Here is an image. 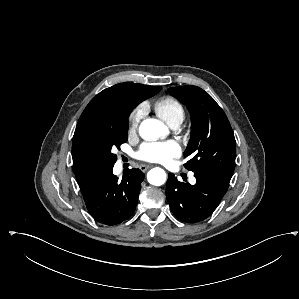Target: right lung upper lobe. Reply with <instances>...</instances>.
<instances>
[{
    "mask_svg": "<svg viewBox=\"0 0 299 299\" xmlns=\"http://www.w3.org/2000/svg\"><path fill=\"white\" fill-rule=\"evenodd\" d=\"M159 86H145L135 83H120L104 89L97 94L83 111L73 140L84 134L89 128L108 114L122 109H133L138 103L149 98L152 93H158Z\"/></svg>",
    "mask_w": 299,
    "mask_h": 299,
    "instance_id": "right-lung-upper-lobe-1",
    "label": "right lung upper lobe"
}]
</instances>
